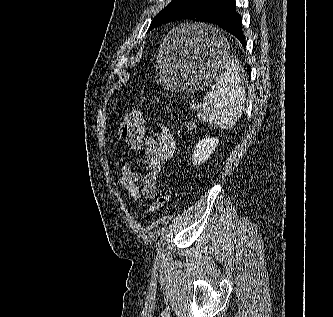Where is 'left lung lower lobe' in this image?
I'll use <instances>...</instances> for the list:
<instances>
[{
    "mask_svg": "<svg viewBox=\"0 0 333 317\" xmlns=\"http://www.w3.org/2000/svg\"><path fill=\"white\" fill-rule=\"evenodd\" d=\"M183 19L216 24L234 35L245 47L242 17L236 11L235 0H213L207 5L188 12Z\"/></svg>",
    "mask_w": 333,
    "mask_h": 317,
    "instance_id": "left-lung-lower-lobe-1",
    "label": "left lung lower lobe"
}]
</instances>
